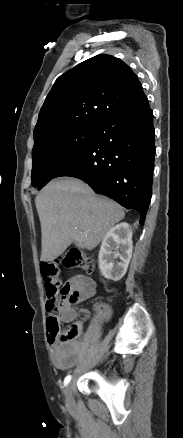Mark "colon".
<instances>
[{
    "label": "colon",
    "instance_id": "colon-1",
    "mask_svg": "<svg viewBox=\"0 0 183 438\" xmlns=\"http://www.w3.org/2000/svg\"><path fill=\"white\" fill-rule=\"evenodd\" d=\"M60 266L67 269L80 268L87 272H93L95 260L92 256L84 254L77 249H70L61 259L40 264L46 292V310L49 313L47 318L48 333L54 336L61 334V339L68 342L78 336L80 329L76 324H72L61 332L59 312L66 300L76 303L77 295L67 285H63L60 288Z\"/></svg>",
    "mask_w": 183,
    "mask_h": 438
}]
</instances>
